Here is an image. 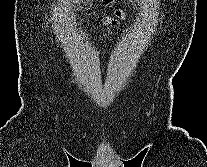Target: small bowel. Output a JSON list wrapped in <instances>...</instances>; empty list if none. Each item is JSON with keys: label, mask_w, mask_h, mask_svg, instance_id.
Here are the masks:
<instances>
[{"label": "small bowel", "mask_w": 207, "mask_h": 167, "mask_svg": "<svg viewBox=\"0 0 207 167\" xmlns=\"http://www.w3.org/2000/svg\"><path fill=\"white\" fill-rule=\"evenodd\" d=\"M102 2H104L109 7H113L115 4L114 0H102ZM116 14L121 15V12L116 10ZM101 22L103 23L108 32H112V30L119 25L118 22L109 15L102 16Z\"/></svg>", "instance_id": "1"}]
</instances>
